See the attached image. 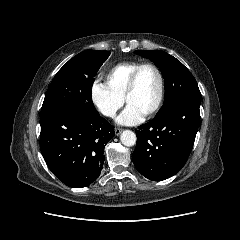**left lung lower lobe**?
<instances>
[{"label":"left lung lower lobe","mask_w":240,"mask_h":240,"mask_svg":"<svg viewBox=\"0 0 240 240\" xmlns=\"http://www.w3.org/2000/svg\"><path fill=\"white\" fill-rule=\"evenodd\" d=\"M200 101L186 98L173 102L139 126L132 160L147 179L165 180L185 165L198 131Z\"/></svg>","instance_id":"left-lung-lower-lobe-1"}]
</instances>
